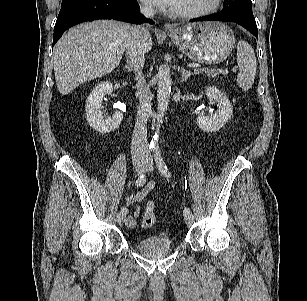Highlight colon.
Segmentation results:
<instances>
[{
  "label": "colon",
  "instance_id": "1",
  "mask_svg": "<svg viewBox=\"0 0 307 301\" xmlns=\"http://www.w3.org/2000/svg\"><path fill=\"white\" fill-rule=\"evenodd\" d=\"M155 219V205L150 201L146 204L142 225L144 227H150L155 223Z\"/></svg>",
  "mask_w": 307,
  "mask_h": 301
}]
</instances>
